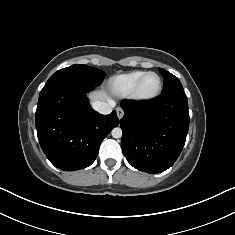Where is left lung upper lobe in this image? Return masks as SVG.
Wrapping results in <instances>:
<instances>
[{
	"mask_svg": "<svg viewBox=\"0 0 235 235\" xmlns=\"http://www.w3.org/2000/svg\"><path fill=\"white\" fill-rule=\"evenodd\" d=\"M159 71L164 79V87L162 93L183 90L182 84L176 76L164 69H159Z\"/></svg>",
	"mask_w": 235,
	"mask_h": 235,
	"instance_id": "obj_1",
	"label": "left lung upper lobe"
}]
</instances>
